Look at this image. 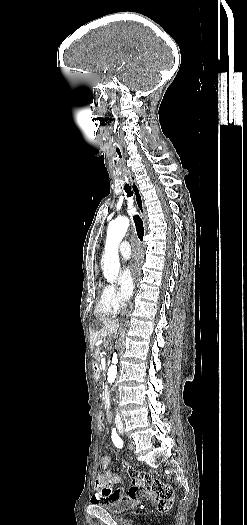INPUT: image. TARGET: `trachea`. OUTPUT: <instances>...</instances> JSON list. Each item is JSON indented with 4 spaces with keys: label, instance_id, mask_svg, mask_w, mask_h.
Segmentation results:
<instances>
[{
    "label": "trachea",
    "instance_id": "3493384b",
    "mask_svg": "<svg viewBox=\"0 0 247 525\" xmlns=\"http://www.w3.org/2000/svg\"><path fill=\"white\" fill-rule=\"evenodd\" d=\"M124 191L126 193L127 198H132L133 193H132V190L130 188V185L124 184ZM132 217H133L134 224H135V227H136L137 236H138L139 240H141V242H143V237H144V233H145V229H144V226H143V221H142V219L140 218V216L138 214L133 213Z\"/></svg>",
    "mask_w": 247,
    "mask_h": 525
}]
</instances>
